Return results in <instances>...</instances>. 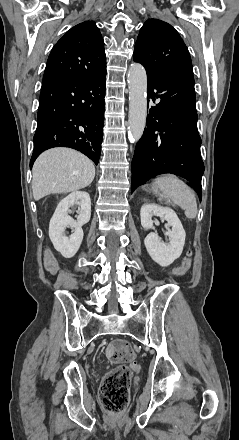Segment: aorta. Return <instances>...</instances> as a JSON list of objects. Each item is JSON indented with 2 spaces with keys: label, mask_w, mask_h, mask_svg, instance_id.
<instances>
[{
  "label": "aorta",
  "mask_w": 239,
  "mask_h": 440,
  "mask_svg": "<svg viewBox=\"0 0 239 440\" xmlns=\"http://www.w3.org/2000/svg\"><path fill=\"white\" fill-rule=\"evenodd\" d=\"M129 82V134L134 142L140 140L147 116V76L141 64H131Z\"/></svg>",
  "instance_id": "762f6f07"
}]
</instances>
